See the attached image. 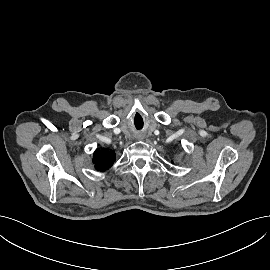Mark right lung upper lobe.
Listing matches in <instances>:
<instances>
[{"label": "right lung upper lobe", "mask_w": 270, "mask_h": 270, "mask_svg": "<svg viewBox=\"0 0 270 270\" xmlns=\"http://www.w3.org/2000/svg\"><path fill=\"white\" fill-rule=\"evenodd\" d=\"M115 160V153L108 149H97L94 152L93 163L98 171H105L110 168Z\"/></svg>", "instance_id": "cb5924a9"}]
</instances>
